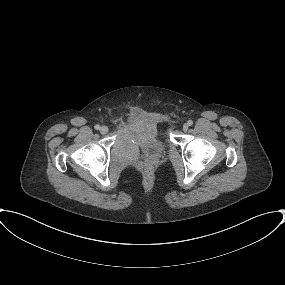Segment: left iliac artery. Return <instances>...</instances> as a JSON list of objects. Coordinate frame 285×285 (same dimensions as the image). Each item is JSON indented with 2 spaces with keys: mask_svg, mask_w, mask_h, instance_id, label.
Returning a JSON list of instances; mask_svg holds the SVG:
<instances>
[{
  "mask_svg": "<svg viewBox=\"0 0 285 285\" xmlns=\"http://www.w3.org/2000/svg\"><path fill=\"white\" fill-rule=\"evenodd\" d=\"M188 125H189V126L193 125V121H192V120H189V121H188Z\"/></svg>",
  "mask_w": 285,
  "mask_h": 285,
  "instance_id": "left-iliac-artery-1",
  "label": "left iliac artery"
}]
</instances>
